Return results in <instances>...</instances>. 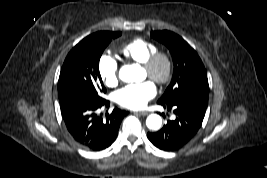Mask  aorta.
<instances>
[{"instance_id":"762f6f07","label":"aorta","mask_w":267,"mask_h":178,"mask_svg":"<svg viewBox=\"0 0 267 178\" xmlns=\"http://www.w3.org/2000/svg\"><path fill=\"white\" fill-rule=\"evenodd\" d=\"M140 67L138 65H124L119 71V78L124 82L139 80ZM162 118L157 114H151L146 119V125L150 130H159Z\"/></svg>"}]
</instances>
